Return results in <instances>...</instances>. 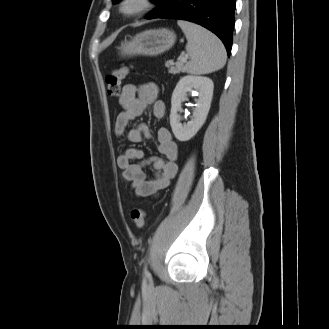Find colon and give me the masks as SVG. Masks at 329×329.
<instances>
[{
  "mask_svg": "<svg viewBox=\"0 0 329 329\" xmlns=\"http://www.w3.org/2000/svg\"><path fill=\"white\" fill-rule=\"evenodd\" d=\"M129 70L130 66L123 65L106 76L107 91L109 95L117 97L121 94L122 81L129 73ZM131 218L137 229L142 230L145 228L146 216L143 209L136 208L132 210Z\"/></svg>",
  "mask_w": 329,
  "mask_h": 329,
  "instance_id": "colon-1",
  "label": "colon"
}]
</instances>
